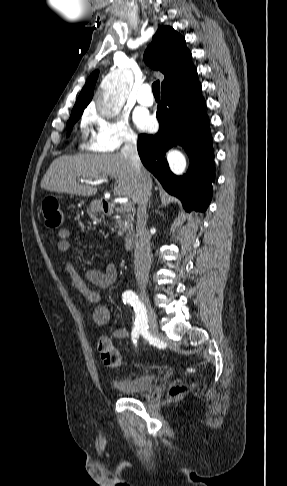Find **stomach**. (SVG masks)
I'll return each instance as SVG.
<instances>
[{
    "mask_svg": "<svg viewBox=\"0 0 287 486\" xmlns=\"http://www.w3.org/2000/svg\"><path fill=\"white\" fill-rule=\"evenodd\" d=\"M90 209L92 212H100L102 210L101 202L99 200H93L90 203Z\"/></svg>",
    "mask_w": 287,
    "mask_h": 486,
    "instance_id": "obj_1",
    "label": "stomach"
}]
</instances>
